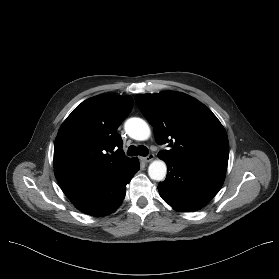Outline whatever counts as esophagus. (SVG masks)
<instances>
[{
    "label": "esophagus",
    "instance_id": "esophagus-1",
    "mask_svg": "<svg viewBox=\"0 0 279 279\" xmlns=\"http://www.w3.org/2000/svg\"><path fill=\"white\" fill-rule=\"evenodd\" d=\"M154 158H155L154 154L151 153V154H149L148 156L143 157L142 160H143L144 162L148 163V162L153 161Z\"/></svg>",
    "mask_w": 279,
    "mask_h": 279
}]
</instances>
